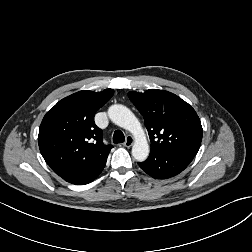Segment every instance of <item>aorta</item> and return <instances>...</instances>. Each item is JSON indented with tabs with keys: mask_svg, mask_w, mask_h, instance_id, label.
Wrapping results in <instances>:
<instances>
[{
	"mask_svg": "<svg viewBox=\"0 0 252 252\" xmlns=\"http://www.w3.org/2000/svg\"><path fill=\"white\" fill-rule=\"evenodd\" d=\"M108 116L117 126L131 132L135 137L132 147V156L135 160L142 162L149 155V145L139 120L126 106L115 104L109 107Z\"/></svg>",
	"mask_w": 252,
	"mask_h": 252,
	"instance_id": "aorta-1",
	"label": "aorta"
}]
</instances>
